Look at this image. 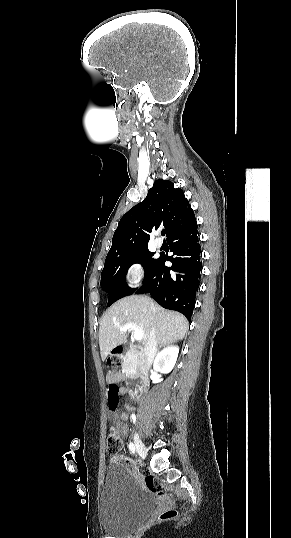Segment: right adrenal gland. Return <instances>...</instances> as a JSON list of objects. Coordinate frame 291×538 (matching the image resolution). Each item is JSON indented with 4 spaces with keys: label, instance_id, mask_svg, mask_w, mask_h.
Returning a JSON list of instances; mask_svg holds the SVG:
<instances>
[{
    "label": "right adrenal gland",
    "instance_id": "right-adrenal-gland-1",
    "mask_svg": "<svg viewBox=\"0 0 291 538\" xmlns=\"http://www.w3.org/2000/svg\"><path fill=\"white\" fill-rule=\"evenodd\" d=\"M162 346H163V345H160V346L158 347V350H159Z\"/></svg>",
    "mask_w": 291,
    "mask_h": 538
}]
</instances>
